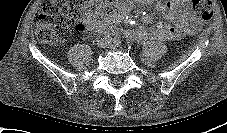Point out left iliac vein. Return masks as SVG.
I'll use <instances>...</instances> for the list:
<instances>
[{
  "label": "left iliac vein",
  "mask_w": 227,
  "mask_h": 133,
  "mask_svg": "<svg viewBox=\"0 0 227 133\" xmlns=\"http://www.w3.org/2000/svg\"><path fill=\"white\" fill-rule=\"evenodd\" d=\"M108 46H109V47H112V48L117 47L115 44H111V43H109Z\"/></svg>",
  "instance_id": "left-iliac-vein-1"
}]
</instances>
